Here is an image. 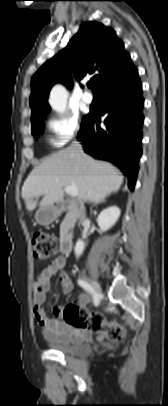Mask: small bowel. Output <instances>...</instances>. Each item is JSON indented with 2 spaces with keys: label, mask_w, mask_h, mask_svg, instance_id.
<instances>
[{
  "label": "small bowel",
  "mask_w": 168,
  "mask_h": 406,
  "mask_svg": "<svg viewBox=\"0 0 168 406\" xmlns=\"http://www.w3.org/2000/svg\"><path fill=\"white\" fill-rule=\"evenodd\" d=\"M66 258L64 256L56 257L47 267H45L34 282V315L37 322L43 328L45 337L54 342H72L79 341L91 336V331L78 325L77 320L72 323L64 319V306H56L53 310L54 317H48L43 304L46 301L47 293L51 289L52 278L59 273V281L62 292L65 295L72 293L74 286L69 275L64 271ZM90 297L86 294L79 295L75 301L70 304L78 309L79 312L89 303ZM103 334L99 335V339Z\"/></svg>",
  "instance_id": "1"
}]
</instances>
